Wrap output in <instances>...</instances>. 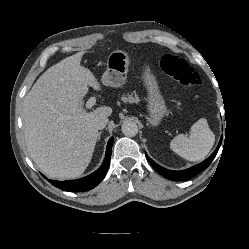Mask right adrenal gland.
Masks as SVG:
<instances>
[{
  "instance_id": "2a0ac1e0",
  "label": "right adrenal gland",
  "mask_w": 249,
  "mask_h": 249,
  "mask_svg": "<svg viewBox=\"0 0 249 249\" xmlns=\"http://www.w3.org/2000/svg\"><path fill=\"white\" fill-rule=\"evenodd\" d=\"M101 134H102V132H99V134H98V141L100 140Z\"/></svg>"
}]
</instances>
